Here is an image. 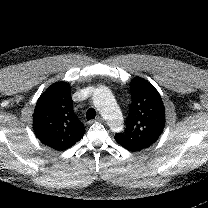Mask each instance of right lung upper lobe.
<instances>
[{"mask_svg": "<svg viewBox=\"0 0 208 208\" xmlns=\"http://www.w3.org/2000/svg\"><path fill=\"white\" fill-rule=\"evenodd\" d=\"M71 87L60 81L52 84L39 97L33 115V128L38 139L55 150H65L85 133L83 123L73 110Z\"/></svg>", "mask_w": 208, "mask_h": 208, "instance_id": "1", "label": "right lung upper lobe"}]
</instances>
